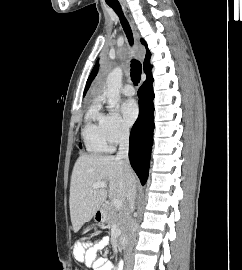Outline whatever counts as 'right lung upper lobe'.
Here are the masks:
<instances>
[{
	"instance_id": "cb5924a9",
	"label": "right lung upper lobe",
	"mask_w": 242,
	"mask_h": 270,
	"mask_svg": "<svg viewBox=\"0 0 242 270\" xmlns=\"http://www.w3.org/2000/svg\"><path fill=\"white\" fill-rule=\"evenodd\" d=\"M141 42H142V43L146 46V48H147V45H146L145 41H144V40H141ZM150 56H151V54H150V52H149V50H148V48H147L146 57H145V60H144V71H145L146 74H148V73L150 72L151 68H152V66L149 64ZM97 71H98V67H95V68L93 69L91 75L89 76L88 81H87V84H86V88H85V91H84V94L86 93V91H87L89 85L91 84L92 80H93L94 77L96 76Z\"/></svg>"
}]
</instances>
